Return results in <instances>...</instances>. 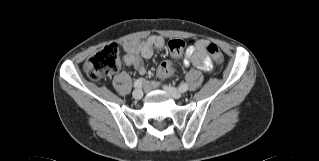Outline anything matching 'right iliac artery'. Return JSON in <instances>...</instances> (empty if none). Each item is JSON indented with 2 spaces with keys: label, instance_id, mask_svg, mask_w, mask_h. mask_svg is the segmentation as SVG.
<instances>
[{
  "label": "right iliac artery",
  "instance_id": "obj_1",
  "mask_svg": "<svg viewBox=\"0 0 319 161\" xmlns=\"http://www.w3.org/2000/svg\"><path fill=\"white\" fill-rule=\"evenodd\" d=\"M143 81H144L143 78L137 79V80L135 81V83H134V87H135V88L141 87L142 84H143Z\"/></svg>",
  "mask_w": 319,
  "mask_h": 161
}]
</instances>
